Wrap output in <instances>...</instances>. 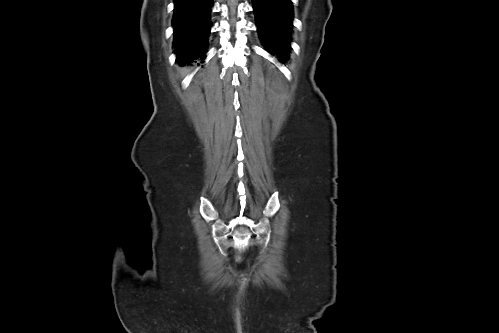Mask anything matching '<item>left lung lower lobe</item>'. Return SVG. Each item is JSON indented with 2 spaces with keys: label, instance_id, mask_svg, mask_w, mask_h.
<instances>
[{
  "label": "left lung lower lobe",
  "instance_id": "left-lung-lower-lobe-1",
  "mask_svg": "<svg viewBox=\"0 0 499 333\" xmlns=\"http://www.w3.org/2000/svg\"><path fill=\"white\" fill-rule=\"evenodd\" d=\"M258 32L266 47L282 59L289 49L293 8L290 0H253Z\"/></svg>",
  "mask_w": 499,
  "mask_h": 333
}]
</instances>
